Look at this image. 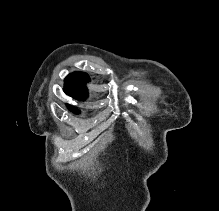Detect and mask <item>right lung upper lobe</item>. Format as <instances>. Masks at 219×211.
Wrapping results in <instances>:
<instances>
[{
  "instance_id": "right-lung-upper-lobe-1",
  "label": "right lung upper lobe",
  "mask_w": 219,
  "mask_h": 211,
  "mask_svg": "<svg viewBox=\"0 0 219 211\" xmlns=\"http://www.w3.org/2000/svg\"><path fill=\"white\" fill-rule=\"evenodd\" d=\"M90 78L86 73L74 72L69 74L65 79V93L75 99L84 100L88 97L85 81Z\"/></svg>"
}]
</instances>
